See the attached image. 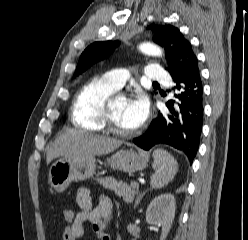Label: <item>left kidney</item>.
<instances>
[{
  "label": "left kidney",
  "instance_id": "5707ae66",
  "mask_svg": "<svg viewBox=\"0 0 248 240\" xmlns=\"http://www.w3.org/2000/svg\"><path fill=\"white\" fill-rule=\"evenodd\" d=\"M175 210L176 201L172 194H162L149 204L146 221L148 224L162 227L160 240L166 239L175 217Z\"/></svg>",
  "mask_w": 248,
  "mask_h": 240
}]
</instances>
